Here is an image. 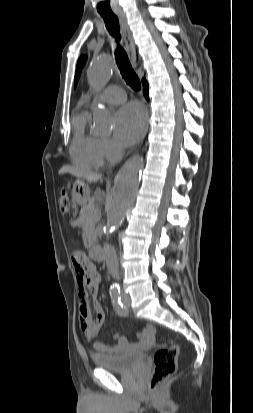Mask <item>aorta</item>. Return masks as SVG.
<instances>
[{
	"mask_svg": "<svg viewBox=\"0 0 253 413\" xmlns=\"http://www.w3.org/2000/svg\"><path fill=\"white\" fill-rule=\"evenodd\" d=\"M114 70L115 64L110 57L93 61L87 71L89 84L97 92L101 91L107 85ZM93 122L98 131L109 132L113 124L112 113L106 107L97 104L93 112ZM142 168V158L134 156L119 171L113 193L107 204V230H117L126 210L133 204Z\"/></svg>",
	"mask_w": 253,
	"mask_h": 413,
	"instance_id": "762f6f07",
	"label": "aorta"
}]
</instances>
